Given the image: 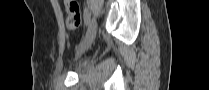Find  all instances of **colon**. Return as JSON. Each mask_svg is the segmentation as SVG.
<instances>
[{
    "instance_id": "5ec220e1",
    "label": "colon",
    "mask_w": 209,
    "mask_h": 90,
    "mask_svg": "<svg viewBox=\"0 0 209 90\" xmlns=\"http://www.w3.org/2000/svg\"><path fill=\"white\" fill-rule=\"evenodd\" d=\"M66 11L68 13L67 17V27L68 29L74 30L78 29L81 25V11L78 3L74 0L65 1Z\"/></svg>"
}]
</instances>
